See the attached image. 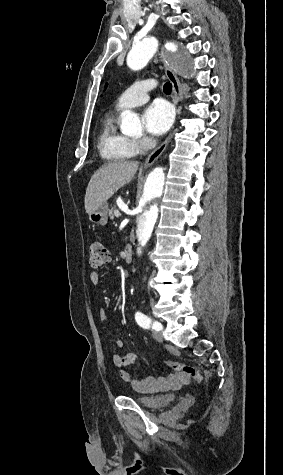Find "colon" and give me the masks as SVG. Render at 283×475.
Here are the masks:
<instances>
[{
  "label": "colon",
  "mask_w": 283,
  "mask_h": 475,
  "mask_svg": "<svg viewBox=\"0 0 283 475\" xmlns=\"http://www.w3.org/2000/svg\"><path fill=\"white\" fill-rule=\"evenodd\" d=\"M90 265L92 267H99L105 264L109 259V252L99 242H94L89 248ZM165 365L175 371L181 378L189 379L193 378L199 384H203L205 381V374L197 367L192 365H185L181 363H174L171 361H163Z\"/></svg>",
  "instance_id": "obj_1"
}]
</instances>
